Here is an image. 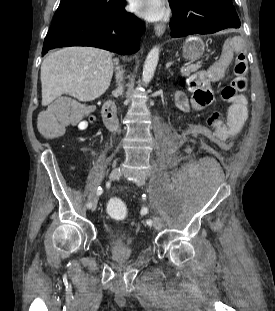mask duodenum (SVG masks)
Listing matches in <instances>:
<instances>
[{
    "label": "duodenum",
    "mask_w": 275,
    "mask_h": 311,
    "mask_svg": "<svg viewBox=\"0 0 275 311\" xmlns=\"http://www.w3.org/2000/svg\"><path fill=\"white\" fill-rule=\"evenodd\" d=\"M103 121L109 130L115 131L118 126L117 107L114 102L107 101L102 107Z\"/></svg>",
    "instance_id": "410a0bca"
}]
</instances>
